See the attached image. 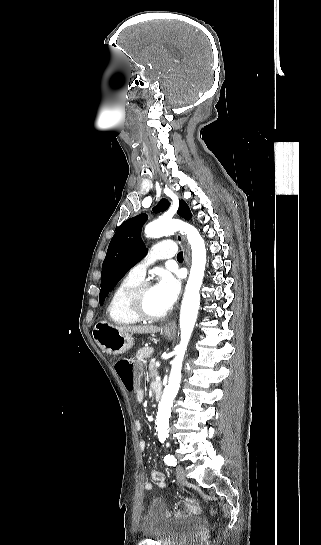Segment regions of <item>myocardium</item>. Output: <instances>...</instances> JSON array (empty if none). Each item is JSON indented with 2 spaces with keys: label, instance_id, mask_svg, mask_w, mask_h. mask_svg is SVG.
I'll return each mask as SVG.
<instances>
[{
  "label": "myocardium",
  "instance_id": "myocardium-1",
  "mask_svg": "<svg viewBox=\"0 0 321 545\" xmlns=\"http://www.w3.org/2000/svg\"><path fill=\"white\" fill-rule=\"evenodd\" d=\"M151 284L147 282H140L134 288L130 290L126 297V311L127 313L138 321H158L164 318L168 312L162 314H153L145 311L142 307L141 300L143 294L151 288Z\"/></svg>",
  "mask_w": 321,
  "mask_h": 545
}]
</instances>
